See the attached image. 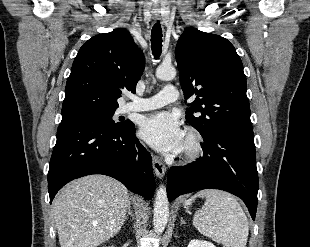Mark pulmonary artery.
I'll return each instance as SVG.
<instances>
[{"label":"pulmonary artery","mask_w":310,"mask_h":247,"mask_svg":"<svg viewBox=\"0 0 310 247\" xmlns=\"http://www.w3.org/2000/svg\"><path fill=\"white\" fill-rule=\"evenodd\" d=\"M178 99V90L173 85H166L159 93L149 98L134 97L121 107V112L148 111L162 107Z\"/></svg>","instance_id":"e3ab8cb5"}]
</instances>
